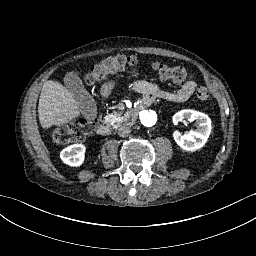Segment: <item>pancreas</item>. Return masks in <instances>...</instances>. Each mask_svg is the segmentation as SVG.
I'll list each match as a JSON object with an SVG mask.
<instances>
[{
	"label": "pancreas",
	"mask_w": 256,
	"mask_h": 256,
	"mask_svg": "<svg viewBox=\"0 0 256 256\" xmlns=\"http://www.w3.org/2000/svg\"><path fill=\"white\" fill-rule=\"evenodd\" d=\"M124 105H119V112L114 111L108 115V123L111 125L120 126L122 123L133 125L137 119L138 112L127 111L123 112Z\"/></svg>",
	"instance_id": "cf45deb5"
}]
</instances>
